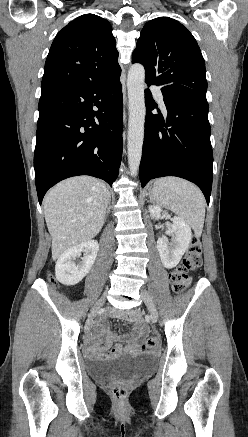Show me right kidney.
<instances>
[{"mask_svg":"<svg viewBox=\"0 0 248 437\" xmlns=\"http://www.w3.org/2000/svg\"><path fill=\"white\" fill-rule=\"evenodd\" d=\"M99 244L88 240L66 250L57 260L55 266L56 279L66 285H76L89 273L97 257ZM84 253L81 263L76 265L73 259Z\"/></svg>","mask_w":248,"mask_h":437,"instance_id":"ca27d5eb","label":"right kidney"}]
</instances>
